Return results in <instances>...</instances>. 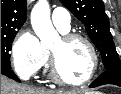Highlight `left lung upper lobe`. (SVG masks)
Wrapping results in <instances>:
<instances>
[{
    "label": "left lung upper lobe",
    "instance_id": "left-lung-upper-lobe-1",
    "mask_svg": "<svg viewBox=\"0 0 121 94\" xmlns=\"http://www.w3.org/2000/svg\"><path fill=\"white\" fill-rule=\"evenodd\" d=\"M86 27L101 53L106 70H121V62L109 29V19L102 0H60Z\"/></svg>",
    "mask_w": 121,
    "mask_h": 94
}]
</instances>
